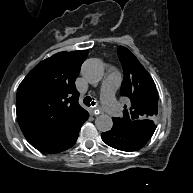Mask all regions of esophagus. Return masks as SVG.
I'll list each match as a JSON object with an SVG mask.
<instances>
[{
	"mask_svg": "<svg viewBox=\"0 0 193 193\" xmlns=\"http://www.w3.org/2000/svg\"><path fill=\"white\" fill-rule=\"evenodd\" d=\"M102 111H101V109L99 108V107H97V108H95L94 110H93V114L94 115H99L100 113H101Z\"/></svg>",
	"mask_w": 193,
	"mask_h": 193,
	"instance_id": "esophagus-1",
	"label": "esophagus"
}]
</instances>
